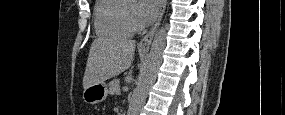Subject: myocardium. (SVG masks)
Wrapping results in <instances>:
<instances>
[{
	"label": "myocardium",
	"mask_w": 285,
	"mask_h": 115,
	"mask_svg": "<svg viewBox=\"0 0 285 115\" xmlns=\"http://www.w3.org/2000/svg\"><path fill=\"white\" fill-rule=\"evenodd\" d=\"M125 17L129 25L135 30L139 29L140 25L136 20V16L129 12V6L125 5Z\"/></svg>",
	"instance_id": "1"
}]
</instances>
